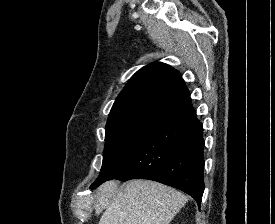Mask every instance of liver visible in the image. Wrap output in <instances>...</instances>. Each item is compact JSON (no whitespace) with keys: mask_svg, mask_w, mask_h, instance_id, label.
I'll return each mask as SVG.
<instances>
[{"mask_svg":"<svg viewBox=\"0 0 275 224\" xmlns=\"http://www.w3.org/2000/svg\"><path fill=\"white\" fill-rule=\"evenodd\" d=\"M117 187V181H107L98 189L96 214L104 210L99 224H169L188 200L180 191L149 180Z\"/></svg>","mask_w":275,"mask_h":224,"instance_id":"6515ba94","label":"liver"}]
</instances>
